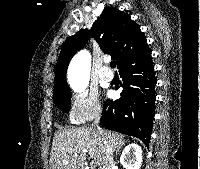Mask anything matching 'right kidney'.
<instances>
[{
  "label": "right kidney",
  "mask_w": 200,
  "mask_h": 169,
  "mask_svg": "<svg viewBox=\"0 0 200 169\" xmlns=\"http://www.w3.org/2000/svg\"><path fill=\"white\" fill-rule=\"evenodd\" d=\"M120 163L125 169H140L142 164V150L136 143H131L123 150Z\"/></svg>",
  "instance_id": "obj_1"
}]
</instances>
